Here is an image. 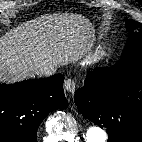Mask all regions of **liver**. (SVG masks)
Returning a JSON list of instances; mask_svg holds the SVG:
<instances>
[{"mask_svg":"<svg viewBox=\"0 0 142 142\" xmlns=\"http://www.w3.org/2000/svg\"><path fill=\"white\" fill-rule=\"evenodd\" d=\"M91 24L84 16L63 13L27 21L0 36V80L34 78L42 64L66 65L87 45Z\"/></svg>","mask_w":142,"mask_h":142,"instance_id":"6515ba94","label":"liver"}]
</instances>
